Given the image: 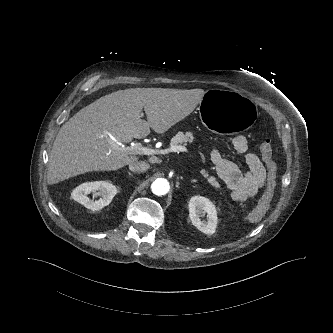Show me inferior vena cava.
<instances>
[{
    "label": "inferior vena cava",
    "mask_w": 333,
    "mask_h": 333,
    "mask_svg": "<svg viewBox=\"0 0 333 333\" xmlns=\"http://www.w3.org/2000/svg\"><path fill=\"white\" fill-rule=\"evenodd\" d=\"M149 167L150 165L145 161H134L129 164V169L133 172H145Z\"/></svg>",
    "instance_id": "1"
}]
</instances>
